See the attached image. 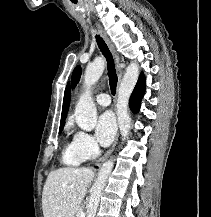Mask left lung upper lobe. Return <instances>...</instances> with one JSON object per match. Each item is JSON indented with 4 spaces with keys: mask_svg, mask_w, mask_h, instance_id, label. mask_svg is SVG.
<instances>
[{
    "mask_svg": "<svg viewBox=\"0 0 211 217\" xmlns=\"http://www.w3.org/2000/svg\"><path fill=\"white\" fill-rule=\"evenodd\" d=\"M81 76V67L80 66H77L74 71H73V74H72V87L74 88L76 86V84L78 83L79 81V78Z\"/></svg>",
    "mask_w": 211,
    "mask_h": 217,
    "instance_id": "left-lung-upper-lobe-1",
    "label": "left lung upper lobe"
}]
</instances>
